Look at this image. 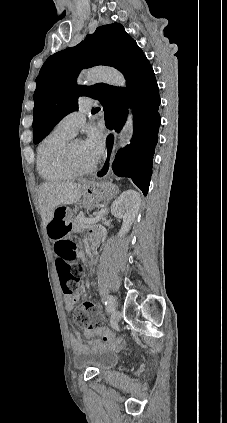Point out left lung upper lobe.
Returning <instances> with one entry per match:
<instances>
[{
    "label": "left lung upper lobe",
    "mask_w": 227,
    "mask_h": 423,
    "mask_svg": "<svg viewBox=\"0 0 227 423\" xmlns=\"http://www.w3.org/2000/svg\"><path fill=\"white\" fill-rule=\"evenodd\" d=\"M96 65L118 69L126 78L127 88L103 83L78 86L76 79L81 69ZM152 71L142 49L119 23L98 27L77 46L53 54L36 78L34 143H39L62 118L77 110L81 96L97 99L104 111L126 108L131 93Z\"/></svg>",
    "instance_id": "5c2ea615"
}]
</instances>
